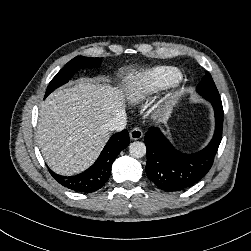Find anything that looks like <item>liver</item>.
I'll return each instance as SVG.
<instances>
[{
	"label": "liver",
	"instance_id": "obj_1",
	"mask_svg": "<svg viewBox=\"0 0 251 251\" xmlns=\"http://www.w3.org/2000/svg\"><path fill=\"white\" fill-rule=\"evenodd\" d=\"M124 107L121 89L88 79L55 90L42 104L37 126L48 166L66 176L87 169L109 139L107 123Z\"/></svg>",
	"mask_w": 251,
	"mask_h": 251
}]
</instances>
